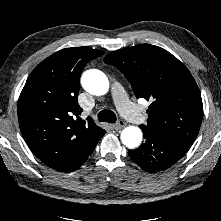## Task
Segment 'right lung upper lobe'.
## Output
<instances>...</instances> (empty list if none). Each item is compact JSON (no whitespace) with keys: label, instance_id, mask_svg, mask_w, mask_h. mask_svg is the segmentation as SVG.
<instances>
[{"label":"right lung upper lobe","instance_id":"cb5924a9","mask_svg":"<svg viewBox=\"0 0 221 221\" xmlns=\"http://www.w3.org/2000/svg\"><path fill=\"white\" fill-rule=\"evenodd\" d=\"M104 52L88 47L62 49L29 75L18 100L23 138L48 167L76 170L105 134L91 118L81 120L77 97L84 66Z\"/></svg>","mask_w":221,"mask_h":221}]
</instances>
